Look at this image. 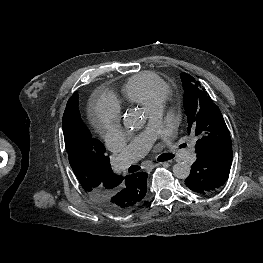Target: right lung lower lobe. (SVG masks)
<instances>
[{"label":"right lung lower lobe","instance_id":"obj_1","mask_svg":"<svg viewBox=\"0 0 263 263\" xmlns=\"http://www.w3.org/2000/svg\"><path fill=\"white\" fill-rule=\"evenodd\" d=\"M147 176L144 172L129 175L124 180L119 179L108 185L111 187L110 191L90 193V196L102 208L118 212L129 200L128 185L135 184L147 188Z\"/></svg>","mask_w":263,"mask_h":263}]
</instances>
